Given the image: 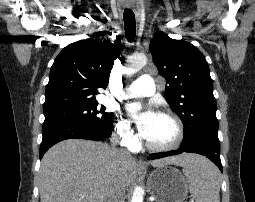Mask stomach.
Wrapping results in <instances>:
<instances>
[{
	"label": "stomach",
	"mask_w": 255,
	"mask_h": 202,
	"mask_svg": "<svg viewBox=\"0 0 255 202\" xmlns=\"http://www.w3.org/2000/svg\"><path fill=\"white\" fill-rule=\"evenodd\" d=\"M147 187L157 202H183L188 195V183L182 173L171 166H158L147 178Z\"/></svg>",
	"instance_id": "0dacf381"
}]
</instances>
